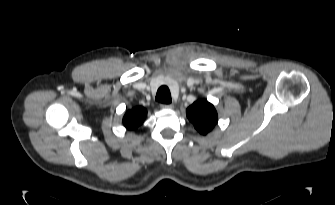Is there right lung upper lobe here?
Here are the masks:
<instances>
[{
	"label": "right lung upper lobe",
	"mask_w": 335,
	"mask_h": 205,
	"mask_svg": "<svg viewBox=\"0 0 335 205\" xmlns=\"http://www.w3.org/2000/svg\"><path fill=\"white\" fill-rule=\"evenodd\" d=\"M146 115L147 111L145 108L135 107L125 113L123 117V124L127 129H135L143 123Z\"/></svg>",
	"instance_id": "1"
}]
</instances>
